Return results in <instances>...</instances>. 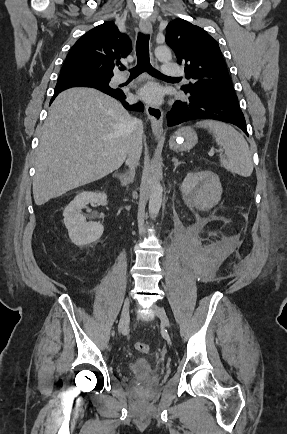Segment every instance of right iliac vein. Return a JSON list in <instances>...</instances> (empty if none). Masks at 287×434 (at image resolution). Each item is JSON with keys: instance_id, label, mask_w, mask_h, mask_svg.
I'll return each mask as SVG.
<instances>
[{"instance_id": "obj_1", "label": "right iliac vein", "mask_w": 287, "mask_h": 434, "mask_svg": "<svg viewBox=\"0 0 287 434\" xmlns=\"http://www.w3.org/2000/svg\"><path fill=\"white\" fill-rule=\"evenodd\" d=\"M129 307H130V298H126L124 301V305L121 312V317L118 325V331L121 332L129 323Z\"/></svg>"}]
</instances>
